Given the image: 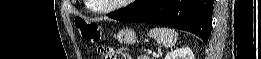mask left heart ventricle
<instances>
[{"label":"left heart ventricle","instance_id":"b2bd125f","mask_svg":"<svg viewBox=\"0 0 261 59\" xmlns=\"http://www.w3.org/2000/svg\"><path fill=\"white\" fill-rule=\"evenodd\" d=\"M121 2V0H93L91 3L98 9H106L117 3Z\"/></svg>","mask_w":261,"mask_h":59}]
</instances>
